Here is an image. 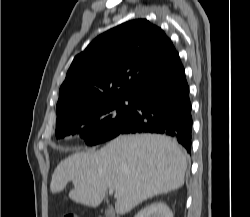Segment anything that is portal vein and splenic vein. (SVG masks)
Masks as SVG:
<instances>
[{"label": "portal vein and splenic vein", "instance_id": "1", "mask_svg": "<svg viewBox=\"0 0 250 217\" xmlns=\"http://www.w3.org/2000/svg\"><path fill=\"white\" fill-rule=\"evenodd\" d=\"M114 193V188H109V194L112 195Z\"/></svg>", "mask_w": 250, "mask_h": 217}]
</instances>
